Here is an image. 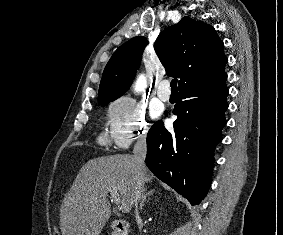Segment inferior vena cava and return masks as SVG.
<instances>
[{
    "label": "inferior vena cava",
    "mask_w": 283,
    "mask_h": 235,
    "mask_svg": "<svg viewBox=\"0 0 283 235\" xmlns=\"http://www.w3.org/2000/svg\"><path fill=\"white\" fill-rule=\"evenodd\" d=\"M147 153V143L146 136H141L133 149V158L136 166L137 172V185L135 188V196L133 199L135 208H136V219L138 223L139 230H142L143 223L142 219L139 217L137 213L138 203L141 200L143 193V185H144V171L146 169L145 166V158Z\"/></svg>",
    "instance_id": "obj_1"
}]
</instances>
